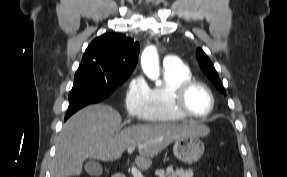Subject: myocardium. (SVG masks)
<instances>
[{"instance_id": "f54148a6", "label": "myocardium", "mask_w": 287, "mask_h": 177, "mask_svg": "<svg viewBox=\"0 0 287 177\" xmlns=\"http://www.w3.org/2000/svg\"><path fill=\"white\" fill-rule=\"evenodd\" d=\"M194 87L203 88L210 97L211 106H210L209 111L205 115L199 116V115L193 114L192 112L189 111V109L186 106L187 95L190 92V90L193 89ZM172 102H173V107L176 110V112H178L179 114L185 117L196 119V120H205L209 118L213 114L214 109H215V95L212 89L204 82L195 80L193 78L183 82L181 85L178 86V88L174 92Z\"/></svg>"}]
</instances>
